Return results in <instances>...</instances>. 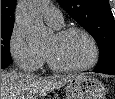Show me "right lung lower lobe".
Returning a JSON list of instances; mask_svg holds the SVG:
<instances>
[{
	"label": "right lung lower lobe",
	"instance_id": "obj_1",
	"mask_svg": "<svg viewBox=\"0 0 115 99\" xmlns=\"http://www.w3.org/2000/svg\"><path fill=\"white\" fill-rule=\"evenodd\" d=\"M9 64H1V69L7 68Z\"/></svg>",
	"mask_w": 115,
	"mask_h": 99
}]
</instances>
